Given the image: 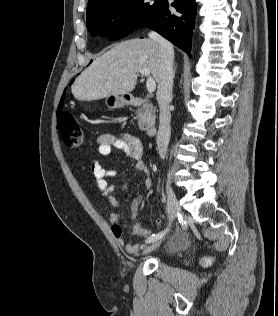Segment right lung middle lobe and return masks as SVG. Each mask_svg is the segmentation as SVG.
Wrapping results in <instances>:
<instances>
[{
    "instance_id": "right-lung-middle-lobe-1",
    "label": "right lung middle lobe",
    "mask_w": 278,
    "mask_h": 316,
    "mask_svg": "<svg viewBox=\"0 0 278 316\" xmlns=\"http://www.w3.org/2000/svg\"><path fill=\"white\" fill-rule=\"evenodd\" d=\"M144 0H110L87 12V29L93 36L123 38L141 27L157 6Z\"/></svg>"
}]
</instances>
